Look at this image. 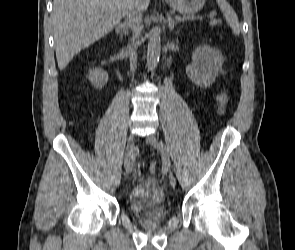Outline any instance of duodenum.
I'll use <instances>...</instances> for the list:
<instances>
[{
	"mask_svg": "<svg viewBox=\"0 0 295 250\" xmlns=\"http://www.w3.org/2000/svg\"><path fill=\"white\" fill-rule=\"evenodd\" d=\"M123 32H124V28H123V26H119L118 29H117V34H118L119 36H121V35L123 34Z\"/></svg>",
	"mask_w": 295,
	"mask_h": 250,
	"instance_id": "duodenum-1",
	"label": "duodenum"
}]
</instances>
